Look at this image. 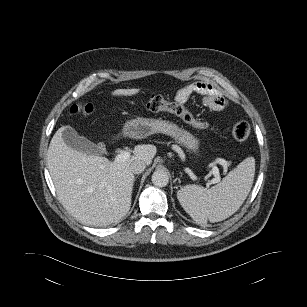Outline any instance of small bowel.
<instances>
[{
  "instance_id": "c3829d8e",
  "label": "small bowel",
  "mask_w": 307,
  "mask_h": 307,
  "mask_svg": "<svg viewBox=\"0 0 307 307\" xmlns=\"http://www.w3.org/2000/svg\"><path fill=\"white\" fill-rule=\"evenodd\" d=\"M200 94L207 107L213 110H222L226 107V100L219 90L210 83L197 81L190 83L178 90L176 101L185 104L192 95Z\"/></svg>"
}]
</instances>
